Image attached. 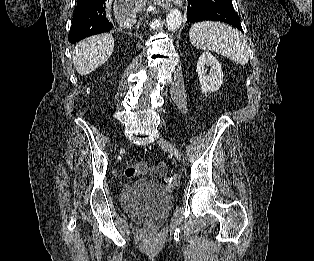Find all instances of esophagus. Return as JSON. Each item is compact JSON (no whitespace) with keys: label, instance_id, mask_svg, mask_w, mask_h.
Masks as SVG:
<instances>
[{"label":"esophagus","instance_id":"esophagus-1","mask_svg":"<svg viewBox=\"0 0 314 261\" xmlns=\"http://www.w3.org/2000/svg\"><path fill=\"white\" fill-rule=\"evenodd\" d=\"M160 5L165 8L168 9L170 6H172V2H174L176 5L181 6L182 5V0H159Z\"/></svg>","mask_w":314,"mask_h":261}]
</instances>
